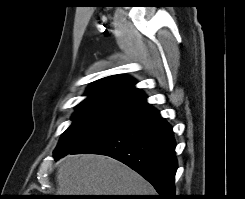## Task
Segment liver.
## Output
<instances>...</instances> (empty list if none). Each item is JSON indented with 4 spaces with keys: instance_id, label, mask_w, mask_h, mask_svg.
<instances>
[{
    "instance_id": "liver-1",
    "label": "liver",
    "mask_w": 245,
    "mask_h": 199,
    "mask_svg": "<svg viewBox=\"0 0 245 199\" xmlns=\"http://www.w3.org/2000/svg\"><path fill=\"white\" fill-rule=\"evenodd\" d=\"M57 195H154L153 186L121 162L103 155H69L56 175Z\"/></svg>"
}]
</instances>
